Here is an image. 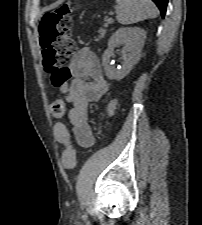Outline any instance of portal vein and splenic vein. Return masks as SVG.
I'll return each mask as SVG.
<instances>
[{"mask_svg": "<svg viewBox=\"0 0 202 225\" xmlns=\"http://www.w3.org/2000/svg\"><path fill=\"white\" fill-rule=\"evenodd\" d=\"M107 21H108L109 23H112V22H113V19H112V18H108Z\"/></svg>", "mask_w": 202, "mask_h": 225, "instance_id": "obj_1", "label": "portal vein and splenic vein"}]
</instances>
